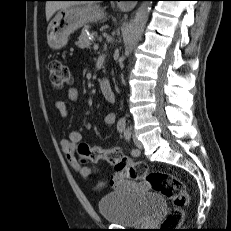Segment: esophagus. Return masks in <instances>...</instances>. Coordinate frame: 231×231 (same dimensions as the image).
Masks as SVG:
<instances>
[{
  "mask_svg": "<svg viewBox=\"0 0 231 231\" xmlns=\"http://www.w3.org/2000/svg\"><path fill=\"white\" fill-rule=\"evenodd\" d=\"M119 6L127 11L131 10L134 7L133 4H124V3L120 4Z\"/></svg>",
  "mask_w": 231,
  "mask_h": 231,
  "instance_id": "esophagus-1",
  "label": "esophagus"
}]
</instances>
